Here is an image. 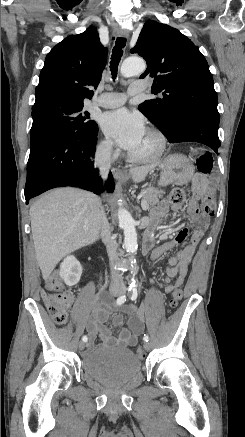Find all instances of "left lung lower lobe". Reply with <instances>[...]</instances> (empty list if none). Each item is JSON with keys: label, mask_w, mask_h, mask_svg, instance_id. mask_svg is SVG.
I'll return each mask as SVG.
<instances>
[{"label": "left lung lower lobe", "mask_w": 245, "mask_h": 437, "mask_svg": "<svg viewBox=\"0 0 245 437\" xmlns=\"http://www.w3.org/2000/svg\"><path fill=\"white\" fill-rule=\"evenodd\" d=\"M218 128L219 121L215 119L199 113H186L180 117L176 132L167 139L170 143H203L218 154L220 147Z\"/></svg>", "instance_id": "0a47b994"}]
</instances>
